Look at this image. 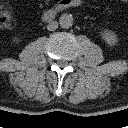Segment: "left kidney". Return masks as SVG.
I'll return each instance as SVG.
<instances>
[{
	"label": "left kidney",
	"mask_w": 128,
	"mask_h": 128,
	"mask_svg": "<svg viewBox=\"0 0 128 128\" xmlns=\"http://www.w3.org/2000/svg\"><path fill=\"white\" fill-rule=\"evenodd\" d=\"M102 38L109 46H114L118 42L117 36L111 30H104L102 33Z\"/></svg>",
	"instance_id": "1"
}]
</instances>
